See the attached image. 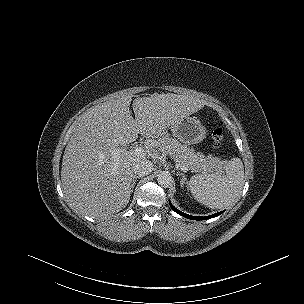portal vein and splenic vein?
I'll list each match as a JSON object with an SVG mask.
<instances>
[{
  "label": "portal vein and splenic vein",
  "mask_w": 304,
  "mask_h": 304,
  "mask_svg": "<svg viewBox=\"0 0 304 304\" xmlns=\"http://www.w3.org/2000/svg\"><path fill=\"white\" fill-rule=\"evenodd\" d=\"M134 152L135 153H138V154H142L144 153V149L141 148V147H134L133 148ZM180 169L183 171V172H187L189 169L186 167V166H180Z\"/></svg>",
  "instance_id": "obj_1"
}]
</instances>
